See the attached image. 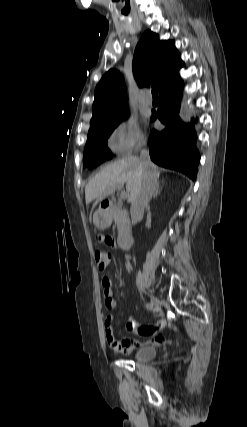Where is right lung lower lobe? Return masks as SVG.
Wrapping results in <instances>:
<instances>
[{"instance_id": "1", "label": "right lung lower lobe", "mask_w": 247, "mask_h": 427, "mask_svg": "<svg viewBox=\"0 0 247 427\" xmlns=\"http://www.w3.org/2000/svg\"><path fill=\"white\" fill-rule=\"evenodd\" d=\"M181 92L182 82L178 76L159 92L160 106L152 120L158 118L165 129L151 132L150 157L154 163L178 170L195 180L200 155L195 147L194 131L178 116Z\"/></svg>"}]
</instances>
